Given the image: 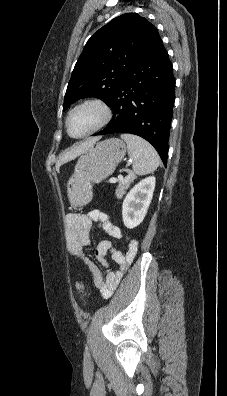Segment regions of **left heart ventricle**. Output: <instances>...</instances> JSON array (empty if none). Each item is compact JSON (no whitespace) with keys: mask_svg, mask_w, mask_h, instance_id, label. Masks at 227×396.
<instances>
[{"mask_svg":"<svg viewBox=\"0 0 227 396\" xmlns=\"http://www.w3.org/2000/svg\"><path fill=\"white\" fill-rule=\"evenodd\" d=\"M101 113L95 107H86L76 111L69 120L70 133L80 136L89 131L100 119Z\"/></svg>","mask_w":227,"mask_h":396,"instance_id":"obj_1","label":"left heart ventricle"}]
</instances>
